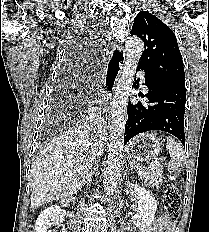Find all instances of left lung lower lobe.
<instances>
[{"label": "left lung lower lobe", "mask_w": 209, "mask_h": 232, "mask_svg": "<svg viewBox=\"0 0 209 232\" xmlns=\"http://www.w3.org/2000/svg\"><path fill=\"white\" fill-rule=\"evenodd\" d=\"M138 70L145 72V85L149 89L145 96L148 101L147 104L128 103L124 144L139 133L159 130L174 135L185 145V89L170 83H161L139 66ZM138 82L136 80L133 84L134 88L139 86Z\"/></svg>", "instance_id": "0a47b994"}]
</instances>
